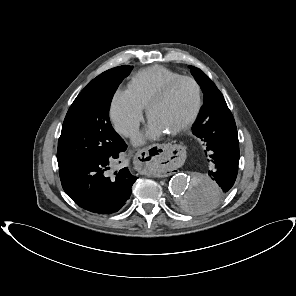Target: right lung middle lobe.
<instances>
[{"instance_id":"1","label":"right lung middle lobe","mask_w":296,"mask_h":296,"mask_svg":"<svg viewBox=\"0 0 296 296\" xmlns=\"http://www.w3.org/2000/svg\"><path fill=\"white\" fill-rule=\"evenodd\" d=\"M133 66H119L93 79L70 106L58 141L59 169L117 154L124 147L123 139L109 120L110 102L118 85Z\"/></svg>"}]
</instances>
